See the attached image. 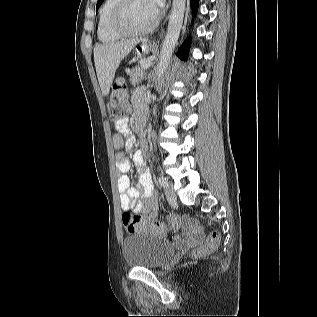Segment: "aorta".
<instances>
[{
  "instance_id": "obj_1",
  "label": "aorta",
  "mask_w": 317,
  "mask_h": 317,
  "mask_svg": "<svg viewBox=\"0 0 317 317\" xmlns=\"http://www.w3.org/2000/svg\"><path fill=\"white\" fill-rule=\"evenodd\" d=\"M185 6L186 0H173L172 2L166 36L160 51L159 63L155 69L156 84L162 79L178 42L183 24Z\"/></svg>"
}]
</instances>
